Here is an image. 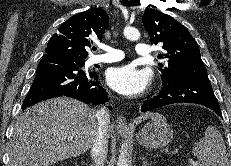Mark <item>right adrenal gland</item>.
<instances>
[{
  "label": "right adrenal gland",
  "instance_id": "right-adrenal-gland-1",
  "mask_svg": "<svg viewBox=\"0 0 231 166\" xmlns=\"http://www.w3.org/2000/svg\"><path fill=\"white\" fill-rule=\"evenodd\" d=\"M86 166H94V165H93V164H89V165H88V164H86Z\"/></svg>",
  "mask_w": 231,
  "mask_h": 166
}]
</instances>
